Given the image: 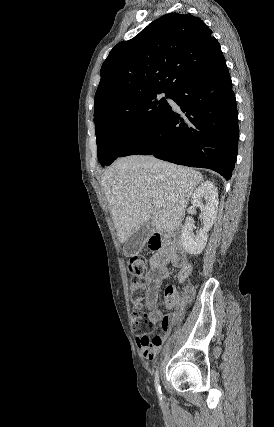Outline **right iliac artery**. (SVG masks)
I'll list each match as a JSON object with an SVG mask.
<instances>
[{
	"instance_id": "82829eb1",
	"label": "right iliac artery",
	"mask_w": 274,
	"mask_h": 427,
	"mask_svg": "<svg viewBox=\"0 0 274 427\" xmlns=\"http://www.w3.org/2000/svg\"><path fill=\"white\" fill-rule=\"evenodd\" d=\"M154 383H155V388H156L158 398L161 400L162 399V391H161V386H160V381H159L158 369L155 372Z\"/></svg>"
}]
</instances>
